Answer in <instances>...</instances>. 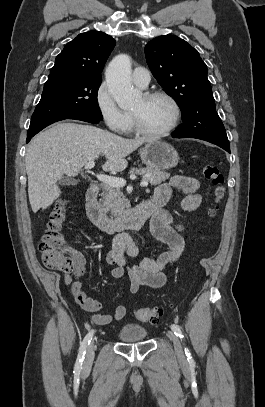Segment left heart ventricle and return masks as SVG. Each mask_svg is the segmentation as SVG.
<instances>
[{
    "instance_id": "b2bd125f",
    "label": "left heart ventricle",
    "mask_w": 265,
    "mask_h": 407,
    "mask_svg": "<svg viewBox=\"0 0 265 407\" xmlns=\"http://www.w3.org/2000/svg\"><path fill=\"white\" fill-rule=\"evenodd\" d=\"M131 113L138 117L145 130L151 132L166 129L174 117L173 107L163 98L145 100L141 97L132 108Z\"/></svg>"
}]
</instances>
